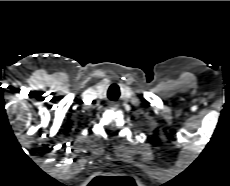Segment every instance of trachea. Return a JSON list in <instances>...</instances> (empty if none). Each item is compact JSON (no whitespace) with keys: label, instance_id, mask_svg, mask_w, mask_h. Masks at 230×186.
Here are the masks:
<instances>
[{"label":"trachea","instance_id":"3493384b","mask_svg":"<svg viewBox=\"0 0 230 186\" xmlns=\"http://www.w3.org/2000/svg\"><path fill=\"white\" fill-rule=\"evenodd\" d=\"M111 92H112V91H111V88H110L109 91H108V94H111Z\"/></svg>","mask_w":230,"mask_h":186}]
</instances>
